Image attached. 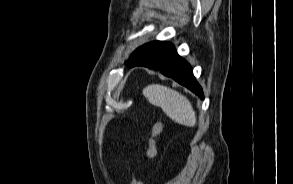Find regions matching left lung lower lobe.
<instances>
[{
    "instance_id": "1",
    "label": "left lung lower lobe",
    "mask_w": 293,
    "mask_h": 184,
    "mask_svg": "<svg viewBox=\"0 0 293 184\" xmlns=\"http://www.w3.org/2000/svg\"><path fill=\"white\" fill-rule=\"evenodd\" d=\"M146 45L148 57L131 67L145 66L158 70L187 87L201 99L204 98L202 88L193 76L192 67L177 54L171 43L153 41Z\"/></svg>"
}]
</instances>
